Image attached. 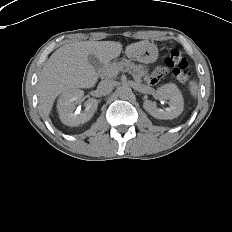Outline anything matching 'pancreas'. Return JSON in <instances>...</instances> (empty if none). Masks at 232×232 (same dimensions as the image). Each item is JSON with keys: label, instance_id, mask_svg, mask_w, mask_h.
Returning a JSON list of instances; mask_svg holds the SVG:
<instances>
[{"label": "pancreas", "instance_id": "pancreas-1", "mask_svg": "<svg viewBox=\"0 0 232 232\" xmlns=\"http://www.w3.org/2000/svg\"><path fill=\"white\" fill-rule=\"evenodd\" d=\"M120 71L133 72L140 80L144 72V66L129 60H123L114 61L103 68V74L108 78L115 77Z\"/></svg>", "mask_w": 232, "mask_h": 232}]
</instances>
